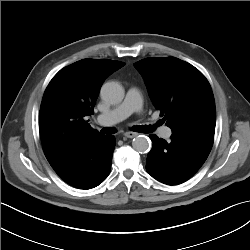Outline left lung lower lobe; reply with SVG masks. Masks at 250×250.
Segmentation results:
<instances>
[{
    "instance_id": "obj_1",
    "label": "left lung lower lobe",
    "mask_w": 250,
    "mask_h": 250,
    "mask_svg": "<svg viewBox=\"0 0 250 250\" xmlns=\"http://www.w3.org/2000/svg\"><path fill=\"white\" fill-rule=\"evenodd\" d=\"M146 170L156 180L178 185L192 177L207 159L214 141L210 135L173 133L167 142L151 134Z\"/></svg>"
}]
</instances>
